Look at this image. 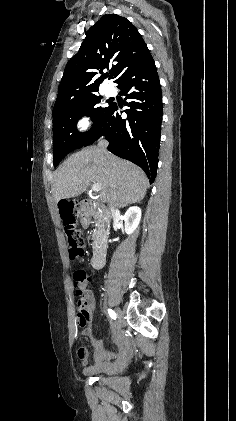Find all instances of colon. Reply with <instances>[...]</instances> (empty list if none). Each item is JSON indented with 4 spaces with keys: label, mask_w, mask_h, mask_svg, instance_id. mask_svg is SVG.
Segmentation results:
<instances>
[{
    "label": "colon",
    "mask_w": 236,
    "mask_h": 421,
    "mask_svg": "<svg viewBox=\"0 0 236 421\" xmlns=\"http://www.w3.org/2000/svg\"><path fill=\"white\" fill-rule=\"evenodd\" d=\"M63 219L65 232L68 238V251L71 260H80L84 256L83 240L81 231L78 228L75 218L71 215L69 206L63 208ZM73 281L76 292L79 296L85 295L91 285V278L84 269H76L73 273ZM89 321V311L80 305L78 311V322L85 326ZM87 352L84 346L78 349V356L83 357Z\"/></svg>",
    "instance_id": "obj_1"
}]
</instances>
